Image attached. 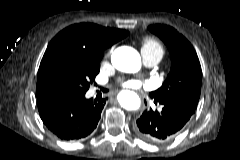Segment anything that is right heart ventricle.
Segmentation results:
<instances>
[{"instance_id": "e07e8e85", "label": "right heart ventricle", "mask_w": 240, "mask_h": 160, "mask_svg": "<svg viewBox=\"0 0 240 160\" xmlns=\"http://www.w3.org/2000/svg\"><path fill=\"white\" fill-rule=\"evenodd\" d=\"M141 49H142V51L158 53L161 56H163V54H164L163 46L157 39H155L153 37H147V38L143 39Z\"/></svg>"}]
</instances>
